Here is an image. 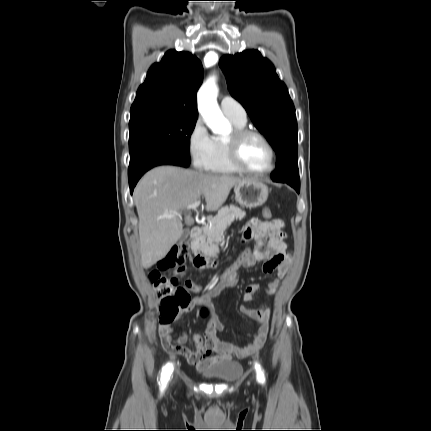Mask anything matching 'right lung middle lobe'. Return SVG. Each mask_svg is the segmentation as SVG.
Wrapping results in <instances>:
<instances>
[{
  "label": "right lung middle lobe",
  "mask_w": 431,
  "mask_h": 431,
  "mask_svg": "<svg viewBox=\"0 0 431 431\" xmlns=\"http://www.w3.org/2000/svg\"><path fill=\"white\" fill-rule=\"evenodd\" d=\"M196 120L197 118L163 114L130 118V157L150 147H162L190 162V136Z\"/></svg>",
  "instance_id": "obj_1"
}]
</instances>
